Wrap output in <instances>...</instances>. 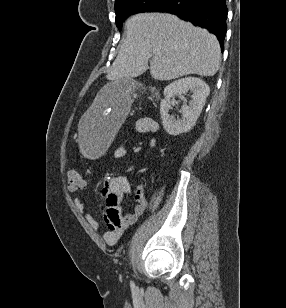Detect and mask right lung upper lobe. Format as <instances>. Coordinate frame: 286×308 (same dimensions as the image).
Returning a JSON list of instances; mask_svg holds the SVG:
<instances>
[{"label":"right lung upper lobe","instance_id":"1","mask_svg":"<svg viewBox=\"0 0 286 308\" xmlns=\"http://www.w3.org/2000/svg\"><path fill=\"white\" fill-rule=\"evenodd\" d=\"M118 1H120V0H115V3H117Z\"/></svg>","mask_w":286,"mask_h":308}]
</instances>
